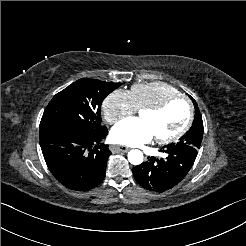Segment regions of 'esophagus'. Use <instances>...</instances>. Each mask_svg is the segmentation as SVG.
<instances>
[{
  "mask_svg": "<svg viewBox=\"0 0 246 246\" xmlns=\"http://www.w3.org/2000/svg\"><path fill=\"white\" fill-rule=\"evenodd\" d=\"M130 149L126 146H121V145H114V146H111V151L114 152V153H117V152H128Z\"/></svg>",
  "mask_w": 246,
  "mask_h": 246,
  "instance_id": "1",
  "label": "esophagus"
}]
</instances>
